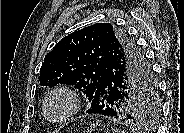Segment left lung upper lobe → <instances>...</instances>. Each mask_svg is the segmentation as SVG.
<instances>
[{"label":"left lung upper lobe","instance_id":"1","mask_svg":"<svg viewBox=\"0 0 184 133\" xmlns=\"http://www.w3.org/2000/svg\"><path fill=\"white\" fill-rule=\"evenodd\" d=\"M123 68L130 89L119 119L130 124H149L159 113L158 89L150 64L128 35L111 23H97L64 37L49 52L40 69V85L72 84L92 100L102 80L107 57ZM150 83L152 95L141 88Z\"/></svg>","mask_w":184,"mask_h":133}]
</instances>
